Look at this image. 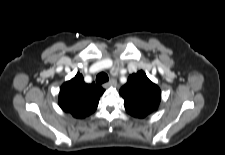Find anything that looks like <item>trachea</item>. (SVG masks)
Instances as JSON below:
<instances>
[{"label":"trachea","mask_w":225,"mask_h":155,"mask_svg":"<svg viewBox=\"0 0 225 155\" xmlns=\"http://www.w3.org/2000/svg\"><path fill=\"white\" fill-rule=\"evenodd\" d=\"M108 80H109L108 75L104 72L99 73L96 77V83L98 85L108 82Z\"/></svg>","instance_id":"obj_1"}]
</instances>
